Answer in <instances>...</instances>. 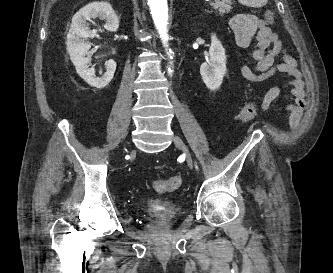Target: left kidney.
Here are the masks:
<instances>
[{
	"mask_svg": "<svg viewBox=\"0 0 333 273\" xmlns=\"http://www.w3.org/2000/svg\"><path fill=\"white\" fill-rule=\"evenodd\" d=\"M209 54L210 59L201 65L200 73L207 88L214 91L222 84L227 71L225 49L215 34L211 35Z\"/></svg>",
	"mask_w": 333,
	"mask_h": 273,
	"instance_id": "left-kidney-1",
	"label": "left kidney"
}]
</instances>
